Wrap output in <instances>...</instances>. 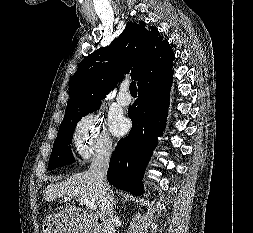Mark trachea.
Returning <instances> with one entry per match:
<instances>
[{
	"mask_svg": "<svg viewBox=\"0 0 253 233\" xmlns=\"http://www.w3.org/2000/svg\"><path fill=\"white\" fill-rule=\"evenodd\" d=\"M129 89H130L131 94H137V87H136V82L135 81L130 83Z\"/></svg>",
	"mask_w": 253,
	"mask_h": 233,
	"instance_id": "obj_1",
	"label": "trachea"
}]
</instances>
